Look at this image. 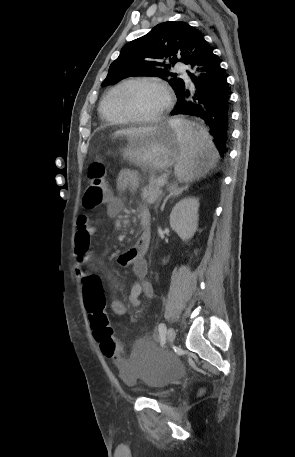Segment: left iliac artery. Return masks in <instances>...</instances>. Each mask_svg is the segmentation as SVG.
Listing matches in <instances>:
<instances>
[{
    "label": "left iliac artery",
    "instance_id": "1",
    "mask_svg": "<svg viewBox=\"0 0 295 457\" xmlns=\"http://www.w3.org/2000/svg\"><path fill=\"white\" fill-rule=\"evenodd\" d=\"M158 330H159V336H160V342H161V345H163L165 343V339H166V326L164 323H160L159 326H158Z\"/></svg>",
    "mask_w": 295,
    "mask_h": 457
}]
</instances>
